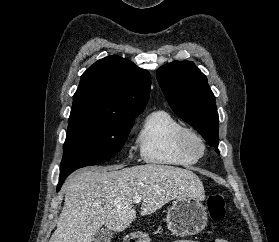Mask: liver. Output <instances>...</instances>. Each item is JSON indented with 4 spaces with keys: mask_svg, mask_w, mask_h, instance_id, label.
<instances>
[{
    "mask_svg": "<svg viewBox=\"0 0 279 242\" xmlns=\"http://www.w3.org/2000/svg\"><path fill=\"white\" fill-rule=\"evenodd\" d=\"M65 202L49 242H91L104 225L124 231L136 218L132 206L140 196V214L149 215L173 199L205 198L199 177L190 170L167 165L86 168L64 183Z\"/></svg>",
    "mask_w": 279,
    "mask_h": 242,
    "instance_id": "1",
    "label": "liver"
}]
</instances>
